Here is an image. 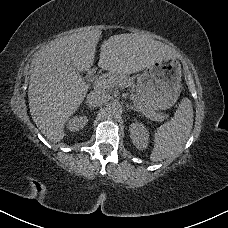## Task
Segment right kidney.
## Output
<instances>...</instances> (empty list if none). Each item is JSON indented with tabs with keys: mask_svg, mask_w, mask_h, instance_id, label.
Returning a JSON list of instances; mask_svg holds the SVG:
<instances>
[{
	"mask_svg": "<svg viewBox=\"0 0 228 228\" xmlns=\"http://www.w3.org/2000/svg\"><path fill=\"white\" fill-rule=\"evenodd\" d=\"M86 119L75 118L68 123V128L72 131L80 130L85 125Z\"/></svg>",
	"mask_w": 228,
	"mask_h": 228,
	"instance_id": "ca27d5eb",
	"label": "right kidney"
}]
</instances>
